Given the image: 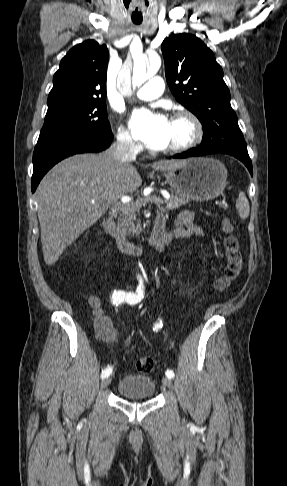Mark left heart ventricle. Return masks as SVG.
<instances>
[{
	"label": "left heart ventricle",
	"mask_w": 287,
	"mask_h": 486,
	"mask_svg": "<svg viewBox=\"0 0 287 486\" xmlns=\"http://www.w3.org/2000/svg\"><path fill=\"white\" fill-rule=\"evenodd\" d=\"M191 134L189 124L184 120H171L167 147L185 142Z\"/></svg>",
	"instance_id": "left-heart-ventricle-1"
}]
</instances>
